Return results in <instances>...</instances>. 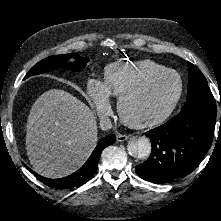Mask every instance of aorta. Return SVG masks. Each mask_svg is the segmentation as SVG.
<instances>
[{"label":"aorta","instance_id":"obj_1","mask_svg":"<svg viewBox=\"0 0 221 221\" xmlns=\"http://www.w3.org/2000/svg\"><path fill=\"white\" fill-rule=\"evenodd\" d=\"M127 150L132 157L142 159L149 156L151 152V142L145 136L132 138L127 144Z\"/></svg>","mask_w":221,"mask_h":221}]
</instances>
